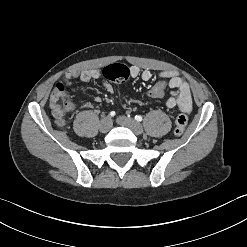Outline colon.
<instances>
[{"mask_svg": "<svg viewBox=\"0 0 247 247\" xmlns=\"http://www.w3.org/2000/svg\"><path fill=\"white\" fill-rule=\"evenodd\" d=\"M103 76L114 82L126 81L130 76V69L123 64H111L102 71ZM165 82H158L150 91L149 95L153 98H161L164 95ZM70 97L62 83H58L50 97V106L55 117L62 121L65 112L71 108ZM187 125V116L180 112L175 119L174 134L181 136Z\"/></svg>", "mask_w": 247, "mask_h": 247, "instance_id": "1", "label": "colon"}]
</instances>
